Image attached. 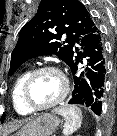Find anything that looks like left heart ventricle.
Instances as JSON below:
<instances>
[{
	"label": "left heart ventricle",
	"mask_w": 117,
	"mask_h": 136,
	"mask_svg": "<svg viewBox=\"0 0 117 136\" xmlns=\"http://www.w3.org/2000/svg\"><path fill=\"white\" fill-rule=\"evenodd\" d=\"M63 90V82L53 72H43L33 81L31 87V100L37 106L46 105L57 99Z\"/></svg>",
	"instance_id": "1"
}]
</instances>
